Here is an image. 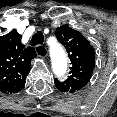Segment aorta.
<instances>
[{
  "instance_id": "1",
  "label": "aorta",
  "mask_w": 117,
  "mask_h": 117,
  "mask_svg": "<svg viewBox=\"0 0 117 117\" xmlns=\"http://www.w3.org/2000/svg\"><path fill=\"white\" fill-rule=\"evenodd\" d=\"M52 68L57 76H62L67 70V55L63 47L57 43L50 47Z\"/></svg>"
}]
</instances>
